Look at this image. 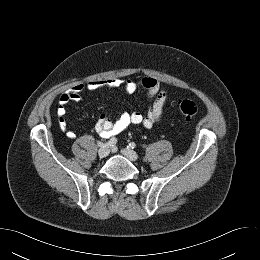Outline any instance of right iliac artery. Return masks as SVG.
Here are the masks:
<instances>
[{
	"mask_svg": "<svg viewBox=\"0 0 260 260\" xmlns=\"http://www.w3.org/2000/svg\"><path fill=\"white\" fill-rule=\"evenodd\" d=\"M105 138H108L107 136ZM117 140L115 138H111L107 143H103L100 141H97V145L99 147H111L114 146L116 144Z\"/></svg>",
	"mask_w": 260,
	"mask_h": 260,
	"instance_id": "82829eb1",
	"label": "right iliac artery"
}]
</instances>
